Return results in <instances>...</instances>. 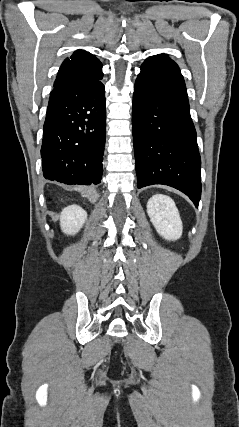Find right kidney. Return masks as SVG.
I'll use <instances>...</instances> for the list:
<instances>
[{
	"instance_id": "obj_1",
	"label": "right kidney",
	"mask_w": 239,
	"mask_h": 427,
	"mask_svg": "<svg viewBox=\"0 0 239 427\" xmlns=\"http://www.w3.org/2000/svg\"><path fill=\"white\" fill-rule=\"evenodd\" d=\"M87 219V212L77 205L64 208L60 215L61 229L65 234L74 235L83 226Z\"/></svg>"
}]
</instances>
